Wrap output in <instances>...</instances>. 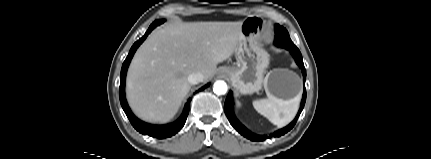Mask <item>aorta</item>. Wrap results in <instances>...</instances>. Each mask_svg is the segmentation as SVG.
<instances>
[{"mask_svg": "<svg viewBox=\"0 0 431 159\" xmlns=\"http://www.w3.org/2000/svg\"><path fill=\"white\" fill-rule=\"evenodd\" d=\"M228 90L227 84L223 80H218L213 85V91L217 95H224Z\"/></svg>", "mask_w": 431, "mask_h": 159, "instance_id": "1", "label": "aorta"}]
</instances>
